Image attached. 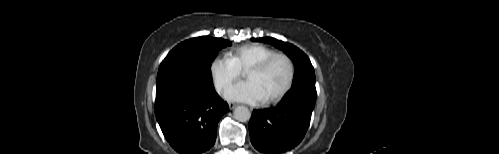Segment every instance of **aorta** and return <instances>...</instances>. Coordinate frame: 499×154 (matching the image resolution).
I'll list each match as a JSON object with an SVG mask.
<instances>
[{"instance_id": "aorta-1", "label": "aorta", "mask_w": 499, "mask_h": 154, "mask_svg": "<svg viewBox=\"0 0 499 154\" xmlns=\"http://www.w3.org/2000/svg\"><path fill=\"white\" fill-rule=\"evenodd\" d=\"M233 114H234V118L240 122H246L251 117V113H250L249 109L245 106L236 107Z\"/></svg>"}]
</instances>
